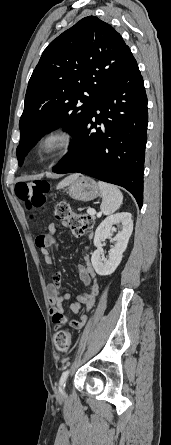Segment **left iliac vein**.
Segmentation results:
<instances>
[{
    "label": "left iliac vein",
    "mask_w": 171,
    "mask_h": 445,
    "mask_svg": "<svg viewBox=\"0 0 171 445\" xmlns=\"http://www.w3.org/2000/svg\"><path fill=\"white\" fill-rule=\"evenodd\" d=\"M65 384H66V381H65ZM64 389H65V386H62V387H61V389H60V391H62V392H63V391H64Z\"/></svg>",
    "instance_id": "4c4485c4"
}]
</instances>
